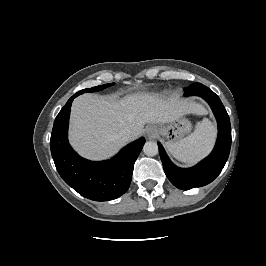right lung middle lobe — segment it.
Masks as SVG:
<instances>
[{
    "mask_svg": "<svg viewBox=\"0 0 266 266\" xmlns=\"http://www.w3.org/2000/svg\"><path fill=\"white\" fill-rule=\"evenodd\" d=\"M113 84H114V83H109V84H106V85H101V86L92 87V88H90V89H84V90H81V91L77 92L76 95L78 96V95H80V94H82V93H84V92H95V91H100V90L105 89V88L108 87V86L113 85Z\"/></svg>",
    "mask_w": 266,
    "mask_h": 266,
    "instance_id": "1",
    "label": "right lung middle lobe"
}]
</instances>
